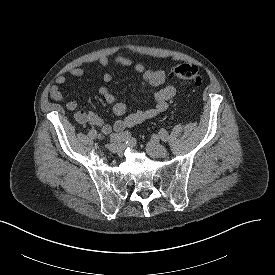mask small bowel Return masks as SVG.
Listing matches in <instances>:
<instances>
[{
  "label": "small bowel",
  "instance_id": "obj_1",
  "mask_svg": "<svg viewBox=\"0 0 275 275\" xmlns=\"http://www.w3.org/2000/svg\"><path fill=\"white\" fill-rule=\"evenodd\" d=\"M97 63L101 67H107L111 63L117 66L128 67L132 65L133 62L128 57H116L112 60L108 57H100ZM134 69L142 78L143 92H147L151 87L161 86V88L153 94L154 104L151 107L125 115L127 105L119 101L106 86H101L99 93L103 96L104 100L111 105L113 114L120 116V118L117 119L113 125H110L104 122L95 112L78 110L74 116L76 122L82 125L89 124L96 126L103 134L109 135L113 131L122 132L127 128L134 127L166 111L169 101L174 98L177 93L175 83L167 78L164 69H149L146 68L143 63L135 64ZM67 73L73 77H82L85 71L81 67H74L69 69ZM102 79L108 83L112 80V75L105 72L102 75ZM66 82L67 77L65 75L58 76L55 80V85L50 88V96L53 100L63 102L68 110L74 111L78 107L77 101L67 100L60 89V85Z\"/></svg>",
  "mask_w": 275,
  "mask_h": 275
}]
</instances>
